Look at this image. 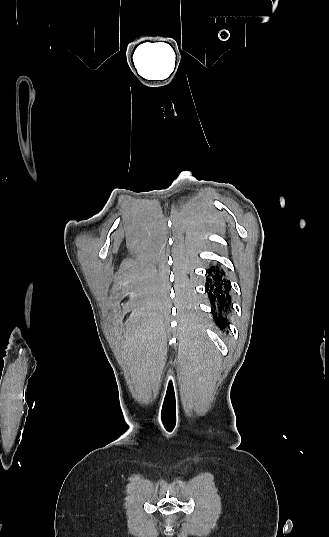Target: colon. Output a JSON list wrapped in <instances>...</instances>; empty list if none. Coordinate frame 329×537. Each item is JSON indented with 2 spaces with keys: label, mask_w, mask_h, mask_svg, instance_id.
Segmentation results:
<instances>
[{
  "label": "colon",
  "mask_w": 329,
  "mask_h": 537,
  "mask_svg": "<svg viewBox=\"0 0 329 537\" xmlns=\"http://www.w3.org/2000/svg\"><path fill=\"white\" fill-rule=\"evenodd\" d=\"M171 516H172L173 518H176V517L178 516V513H177L176 511H173V512L171 513Z\"/></svg>",
  "instance_id": "obj_1"
}]
</instances>
